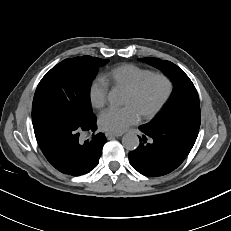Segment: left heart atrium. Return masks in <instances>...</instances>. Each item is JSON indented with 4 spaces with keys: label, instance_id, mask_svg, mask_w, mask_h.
I'll use <instances>...</instances> for the list:
<instances>
[{
    "label": "left heart atrium",
    "instance_id": "obj_1",
    "mask_svg": "<svg viewBox=\"0 0 231 231\" xmlns=\"http://www.w3.org/2000/svg\"><path fill=\"white\" fill-rule=\"evenodd\" d=\"M139 114L133 106L123 108H109L99 117V125L102 130L112 133H122L129 126L139 121Z\"/></svg>",
    "mask_w": 231,
    "mask_h": 231
}]
</instances>
